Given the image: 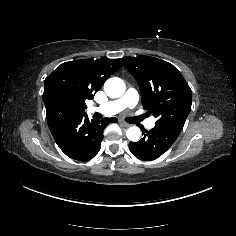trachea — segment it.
<instances>
[{
    "instance_id": "trachea-1",
    "label": "trachea",
    "mask_w": 236,
    "mask_h": 236,
    "mask_svg": "<svg viewBox=\"0 0 236 236\" xmlns=\"http://www.w3.org/2000/svg\"><path fill=\"white\" fill-rule=\"evenodd\" d=\"M147 116L145 114L137 117H128L126 118V122L131 123V124H136L140 122L141 120H144Z\"/></svg>"
}]
</instances>
